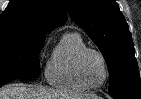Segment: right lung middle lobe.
Here are the masks:
<instances>
[{
  "instance_id": "obj_1",
  "label": "right lung middle lobe",
  "mask_w": 141,
  "mask_h": 99,
  "mask_svg": "<svg viewBox=\"0 0 141 99\" xmlns=\"http://www.w3.org/2000/svg\"><path fill=\"white\" fill-rule=\"evenodd\" d=\"M44 40L29 35H0V87L14 79L40 75L38 54Z\"/></svg>"
}]
</instances>
